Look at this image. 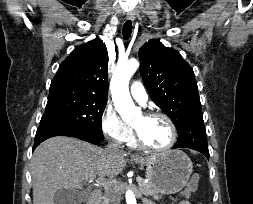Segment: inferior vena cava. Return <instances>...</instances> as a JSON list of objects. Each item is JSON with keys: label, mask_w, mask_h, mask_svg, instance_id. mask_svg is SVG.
Masks as SVG:
<instances>
[{"label": "inferior vena cava", "mask_w": 253, "mask_h": 204, "mask_svg": "<svg viewBox=\"0 0 253 204\" xmlns=\"http://www.w3.org/2000/svg\"><path fill=\"white\" fill-rule=\"evenodd\" d=\"M107 148L110 151H120V145L116 141H112L108 144ZM107 197V204H119L120 195L112 188H107L105 191Z\"/></svg>", "instance_id": "602c4592"}]
</instances>
